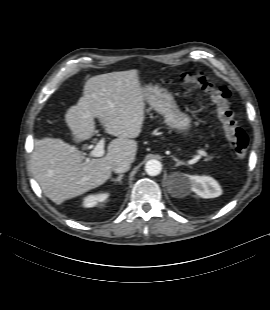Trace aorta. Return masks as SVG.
<instances>
[{
    "instance_id": "1",
    "label": "aorta",
    "mask_w": 270,
    "mask_h": 310,
    "mask_svg": "<svg viewBox=\"0 0 270 310\" xmlns=\"http://www.w3.org/2000/svg\"><path fill=\"white\" fill-rule=\"evenodd\" d=\"M162 165L158 160H149L145 165V171L150 176H157L160 174Z\"/></svg>"
}]
</instances>
